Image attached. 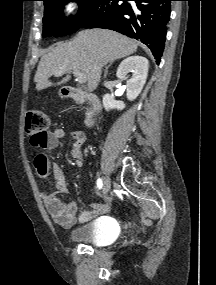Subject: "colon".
<instances>
[{"mask_svg":"<svg viewBox=\"0 0 216 285\" xmlns=\"http://www.w3.org/2000/svg\"><path fill=\"white\" fill-rule=\"evenodd\" d=\"M49 117L41 110H30L26 114L25 131L30 137L31 145L44 149L48 143Z\"/></svg>","mask_w":216,"mask_h":285,"instance_id":"colon-1","label":"colon"}]
</instances>
